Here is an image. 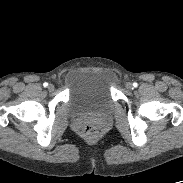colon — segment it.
<instances>
[{
    "label": "colon",
    "mask_w": 183,
    "mask_h": 183,
    "mask_svg": "<svg viewBox=\"0 0 183 183\" xmlns=\"http://www.w3.org/2000/svg\"><path fill=\"white\" fill-rule=\"evenodd\" d=\"M81 133L87 138H94L98 135V126L96 122L88 120L81 125Z\"/></svg>",
    "instance_id": "1"
}]
</instances>
